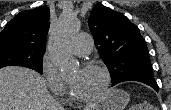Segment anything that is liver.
<instances>
[{"mask_svg":"<svg viewBox=\"0 0 171 110\" xmlns=\"http://www.w3.org/2000/svg\"><path fill=\"white\" fill-rule=\"evenodd\" d=\"M96 105L88 107L95 108ZM0 110H63L47 90L46 80L34 70L8 66L0 69Z\"/></svg>","mask_w":171,"mask_h":110,"instance_id":"liver-1","label":"liver"}]
</instances>
